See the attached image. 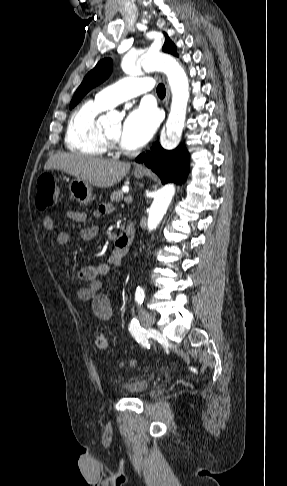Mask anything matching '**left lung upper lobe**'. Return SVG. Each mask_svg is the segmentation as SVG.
Returning a JSON list of instances; mask_svg holds the SVG:
<instances>
[{
  "mask_svg": "<svg viewBox=\"0 0 287 486\" xmlns=\"http://www.w3.org/2000/svg\"><path fill=\"white\" fill-rule=\"evenodd\" d=\"M165 43L162 47L164 52L178 56L176 52V46L169 39L165 33ZM112 72V61L111 59H103L97 63V65L84 77L81 85L76 90L72 101L70 103V109L76 106L80 100L95 86L99 85L105 81Z\"/></svg>",
  "mask_w": 287,
  "mask_h": 486,
  "instance_id": "obj_1",
  "label": "left lung upper lobe"
}]
</instances>
